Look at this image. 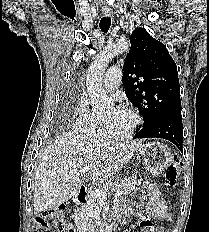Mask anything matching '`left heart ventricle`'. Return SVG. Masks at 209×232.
Returning a JSON list of instances; mask_svg holds the SVG:
<instances>
[{
  "instance_id": "1",
  "label": "left heart ventricle",
  "mask_w": 209,
  "mask_h": 232,
  "mask_svg": "<svg viewBox=\"0 0 209 232\" xmlns=\"http://www.w3.org/2000/svg\"><path fill=\"white\" fill-rule=\"evenodd\" d=\"M103 117L107 120L109 129L114 134L126 133L133 124L131 114L122 109L110 108Z\"/></svg>"
}]
</instances>
